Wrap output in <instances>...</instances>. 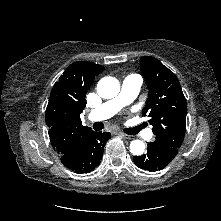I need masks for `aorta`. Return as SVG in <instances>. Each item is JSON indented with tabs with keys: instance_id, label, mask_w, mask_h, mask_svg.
Returning a JSON list of instances; mask_svg holds the SVG:
<instances>
[{
	"instance_id": "aorta-1",
	"label": "aorta",
	"mask_w": 221,
	"mask_h": 221,
	"mask_svg": "<svg viewBox=\"0 0 221 221\" xmlns=\"http://www.w3.org/2000/svg\"><path fill=\"white\" fill-rule=\"evenodd\" d=\"M120 91V83L114 77H104L97 84V93L104 99H111L117 96ZM145 144L141 140H133L130 144V152L139 156L144 153Z\"/></svg>"
}]
</instances>
